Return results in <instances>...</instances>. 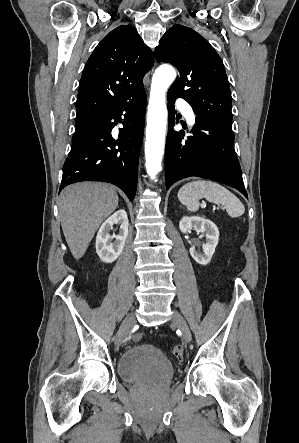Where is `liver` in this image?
Returning a JSON list of instances; mask_svg holds the SVG:
<instances>
[{
  "instance_id": "1",
  "label": "liver",
  "mask_w": 299,
  "mask_h": 443,
  "mask_svg": "<svg viewBox=\"0 0 299 443\" xmlns=\"http://www.w3.org/2000/svg\"><path fill=\"white\" fill-rule=\"evenodd\" d=\"M58 206L66 242L78 260L101 223L117 208L118 195L108 184L81 182L62 190Z\"/></svg>"
}]
</instances>
